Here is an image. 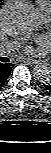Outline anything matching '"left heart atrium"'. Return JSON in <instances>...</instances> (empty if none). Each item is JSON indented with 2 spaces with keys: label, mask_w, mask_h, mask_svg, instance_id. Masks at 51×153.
Here are the masks:
<instances>
[{
  "label": "left heart atrium",
  "mask_w": 51,
  "mask_h": 153,
  "mask_svg": "<svg viewBox=\"0 0 51 153\" xmlns=\"http://www.w3.org/2000/svg\"><path fill=\"white\" fill-rule=\"evenodd\" d=\"M27 52L32 53L34 51V48L31 46L26 47Z\"/></svg>",
  "instance_id": "left-heart-atrium-1"
}]
</instances>
